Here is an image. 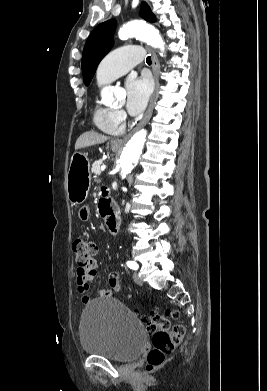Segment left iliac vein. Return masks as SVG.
Returning a JSON list of instances; mask_svg holds the SVG:
<instances>
[{
	"instance_id": "left-iliac-vein-1",
	"label": "left iliac vein",
	"mask_w": 267,
	"mask_h": 391,
	"mask_svg": "<svg viewBox=\"0 0 267 391\" xmlns=\"http://www.w3.org/2000/svg\"><path fill=\"white\" fill-rule=\"evenodd\" d=\"M133 280H134V282H135L136 284H138V285H142V284H143V282H142V280H141V278L139 277V275H138L137 272H134V273H133Z\"/></svg>"
}]
</instances>
